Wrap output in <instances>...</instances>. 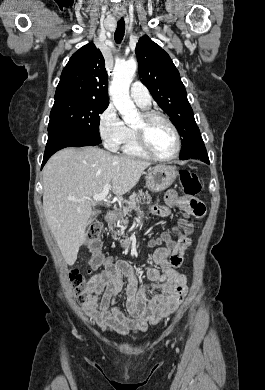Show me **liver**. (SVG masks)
Here are the masks:
<instances>
[{"label":"liver","mask_w":265,"mask_h":390,"mask_svg":"<svg viewBox=\"0 0 265 390\" xmlns=\"http://www.w3.org/2000/svg\"><path fill=\"white\" fill-rule=\"evenodd\" d=\"M151 164L112 155L98 147L65 148L55 153L43 169V210L48 226L65 262L72 266L95 204L93 196L112 183V192L121 196L139 181ZM87 198L77 203L68 198Z\"/></svg>","instance_id":"obj_1"}]
</instances>
